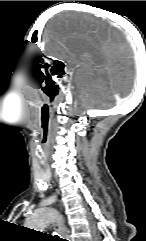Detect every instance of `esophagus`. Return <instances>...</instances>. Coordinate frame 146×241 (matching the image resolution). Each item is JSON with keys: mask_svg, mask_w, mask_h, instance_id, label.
<instances>
[{"mask_svg": "<svg viewBox=\"0 0 146 241\" xmlns=\"http://www.w3.org/2000/svg\"><path fill=\"white\" fill-rule=\"evenodd\" d=\"M57 232L59 233V235L65 239L66 241H70L69 237L67 236L66 234V229H65V226L62 224V223H59L57 225Z\"/></svg>", "mask_w": 146, "mask_h": 241, "instance_id": "34e87169", "label": "esophagus"}]
</instances>
